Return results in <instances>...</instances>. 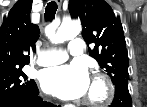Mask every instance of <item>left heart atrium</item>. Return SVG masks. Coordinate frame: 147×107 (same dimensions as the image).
Returning <instances> with one entry per match:
<instances>
[{
	"label": "left heart atrium",
	"instance_id": "left-heart-atrium-1",
	"mask_svg": "<svg viewBox=\"0 0 147 107\" xmlns=\"http://www.w3.org/2000/svg\"><path fill=\"white\" fill-rule=\"evenodd\" d=\"M41 84L45 92L69 100L86 95L91 83L84 66L71 64L45 70Z\"/></svg>",
	"mask_w": 147,
	"mask_h": 107
}]
</instances>
